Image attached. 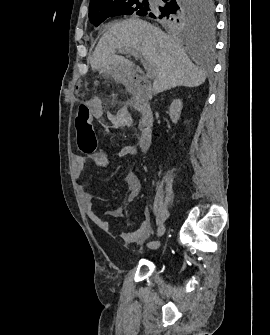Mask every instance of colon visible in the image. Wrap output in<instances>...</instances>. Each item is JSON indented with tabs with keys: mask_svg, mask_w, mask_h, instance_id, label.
<instances>
[{
	"mask_svg": "<svg viewBox=\"0 0 270 335\" xmlns=\"http://www.w3.org/2000/svg\"><path fill=\"white\" fill-rule=\"evenodd\" d=\"M77 133L85 134L84 141H77V148H83V153L86 155L93 154L98 141L92 130V116H89L87 109L77 110Z\"/></svg>",
	"mask_w": 270,
	"mask_h": 335,
	"instance_id": "1",
	"label": "colon"
}]
</instances>
